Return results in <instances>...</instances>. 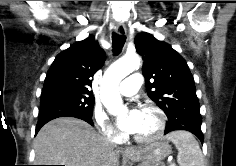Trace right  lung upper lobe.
Returning <instances> with one entry per match:
<instances>
[{
    "label": "right lung upper lobe",
    "mask_w": 236,
    "mask_h": 166,
    "mask_svg": "<svg viewBox=\"0 0 236 166\" xmlns=\"http://www.w3.org/2000/svg\"><path fill=\"white\" fill-rule=\"evenodd\" d=\"M105 53L92 35L59 53L48 70L42 92L62 88L90 93L95 72L102 67Z\"/></svg>",
    "instance_id": "obj_1"
}]
</instances>
